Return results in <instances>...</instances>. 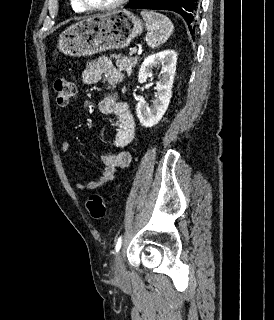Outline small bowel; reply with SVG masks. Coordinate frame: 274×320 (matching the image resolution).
<instances>
[{
  "label": "small bowel",
  "mask_w": 274,
  "mask_h": 320,
  "mask_svg": "<svg viewBox=\"0 0 274 320\" xmlns=\"http://www.w3.org/2000/svg\"><path fill=\"white\" fill-rule=\"evenodd\" d=\"M104 79L112 86L118 85L122 81V75L115 67L112 61L106 56H99L90 60L82 72V81L86 85H92L99 80ZM100 110L106 114H113L119 124V129L113 137V145L117 148H125L135 138L136 125L131 114L129 106L118 100L116 94H110L101 99L99 103ZM70 149V143L63 141L61 150L67 153ZM104 169L99 177L92 181L76 180L74 186L81 191H93L105 186L112 181L119 169L130 166L132 157L125 150L117 154L105 153L101 156Z\"/></svg>",
  "instance_id": "small-bowel-1"
}]
</instances>
